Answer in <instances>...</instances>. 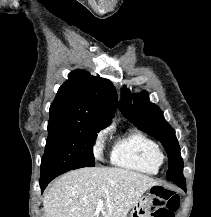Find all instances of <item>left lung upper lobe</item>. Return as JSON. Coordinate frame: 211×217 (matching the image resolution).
Listing matches in <instances>:
<instances>
[{
  "mask_svg": "<svg viewBox=\"0 0 211 217\" xmlns=\"http://www.w3.org/2000/svg\"><path fill=\"white\" fill-rule=\"evenodd\" d=\"M119 109L136 127L162 143L167 151L169 162L167 179L175 184H186L183 176V159L175 130L165 121L160 108L149 101L147 92L143 91L139 95L131 96L130 91L124 88Z\"/></svg>",
  "mask_w": 211,
  "mask_h": 217,
  "instance_id": "obj_1",
  "label": "left lung upper lobe"
}]
</instances>
